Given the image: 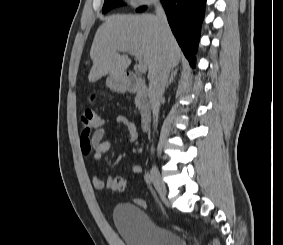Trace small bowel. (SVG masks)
<instances>
[{
	"label": "small bowel",
	"mask_w": 283,
	"mask_h": 245,
	"mask_svg": "<svg viewBox=\"0 0 283 245\" xmlns=\"http://www.w3.org/2000/svg\"><path fill=\"white\" fill-rule=\"evenodd\" d=\"M116 123L126 127L128 131V140L130 142H135L138 139V128L127 117L118 115L116 117ZM105 134L106 130L102 125L90 131L82 130L80 135V143L83 153L86 155H92L96 161L100 160L102 155L107 153L112 147V142L105 139ZM141 172L142 167L139 164H134L130 168L131 174H139ZM113 179L114 177H109L108 179L103 180L94 175L92 177V183L95 189L104 191L107 189H112Z\"/></svg>",
	"instance_id": "obj_1"
}]
</instances>
